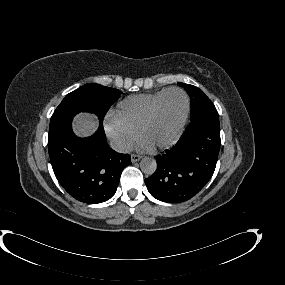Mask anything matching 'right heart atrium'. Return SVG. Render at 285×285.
I'll list each match as a JSON object with an SVG mask.
<instances>
[{"instance_id": "1", "label": "right heart atrium", "mask_w": 285, "mask_h": 285, "mask_svg": "<svg viewBox=\"0 0 285 285\" xmlns=\"http://www.w3.org/2000/svg\"><path fill=\"white\" fill-rule=\"evenodd\" d=\"M105 130L114 145L122 150H129L136 140V133L120 123L115 115H110L105 122Z\"/></svg>"}]
</instances>
